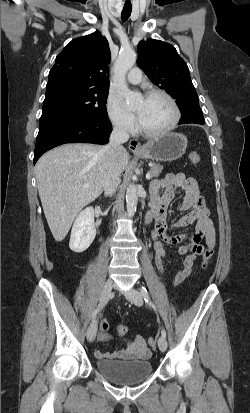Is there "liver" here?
I'll use <instances>...</instances> for the list:
<instances>
[{
    "label": "liver",
    "mask_w": 250,
    "mask_h": 413,
    "mask_svg": "<svg viewBox=\"0 0 250 413\" xmlns=\"http://www.w3.org/2000/svg\"><path fill=\"white\" fill-rule=\"evenodd\" d=\"M105 149L93 144H65L45 153L36 163L39 196L56 241L66 237L78 212L102 193L108 161ZM128 161L129 154L122 148L115 160L120 173Z\"/></svg>",
    "instance_id": "6515ba94"
}]
</instances>
